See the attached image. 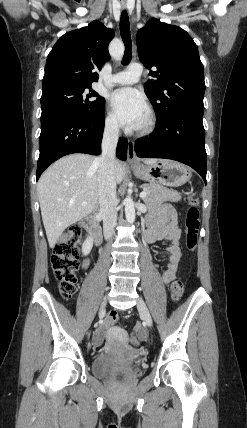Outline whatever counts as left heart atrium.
Listing matches in <instances>:
<instances>
[{
    "instance_id": "obj_1",
    "label": "left heart atrium",
    "mask_w": 247,
    "mask_h": 428,
    "mask_svg": "<svg viewBox=\"0 0 247 428\" xmlns=\"http://www.w3.org/2000/svg\"><path fill=\"white\" fill-rule=\"evenodd\" d=\"M111 107L118 121L130 129H139L146 121L148 107L136 90L123 88L111 96Z\"/></svg>"
}]
</instances>
